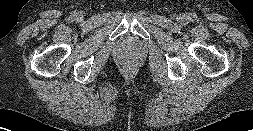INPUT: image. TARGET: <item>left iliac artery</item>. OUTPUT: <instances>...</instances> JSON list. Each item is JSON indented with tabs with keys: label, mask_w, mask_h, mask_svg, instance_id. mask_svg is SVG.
Masks as SVG:
<instances>
[{
	"label": "left iliac artery",
	"mask_w": 253,
	"mask_h": 131,
	"mask_svg": "<svg viewBox=\"0 0 253 131\" xmlns=\"http://www.w3.org/2000/svg\"><path fill=\"white\" fill-rule=\"evenodd\" d=\"M189 19H190L191 21H194V20L196 19V15H194V14L192 15V14H191V16L189 17Z\"/></svg>",
	"instance_id": "left-iliac-artery-1"
}]
</instances>
